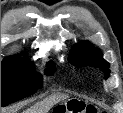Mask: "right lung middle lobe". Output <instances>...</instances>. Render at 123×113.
Segmentation results:
<instances>
[{"label": "right lung middle lobe", "instance_id": "obj_1", "mask_svg": "<svg viewBox=\"0 0 123 113\" xmlns=\"http://www.w3.org/2000/svg\"><path fill=\"white\" fill-rule=\"evenodd\" d=\"M55 68L48 64L46 74ZM42 88V75L35 73L33 65L21 58L10 57L1 63V106L20 100Z\"/></svg>", "mask_w": 123, "mask_h": 113}]
</instances>
